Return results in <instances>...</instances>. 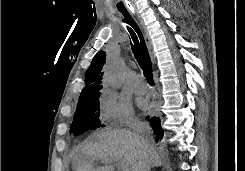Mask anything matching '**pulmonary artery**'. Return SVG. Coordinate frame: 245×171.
Instances as JSON below:
<instances>
[{
  "mask_svg": "<svg viewBox=\"0 0 245 171\" xmlns=\"http://www.w3.org/2000/svg\"><path fill=\"white\" fill-rule=\"evenodd\" d=\"M134 91L136 94H144L147 91V85L138 77L134 84Z\"/></svg>",
  "mask_w": 245,
  "mask_h": 171,
  "instance_id": "1",
  "label": "pulmonary artery"
}]
</instances>
